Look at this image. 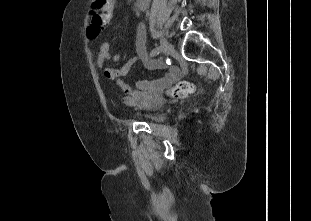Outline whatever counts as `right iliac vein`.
<instances>
[{
	"mask_svg": "<svg viewBox=\"0 0 311 221\" xmlns=\"http://www.w3.org/2000/svg\"><path fill=\"white\" fill-rule=\"evenodd\" d=\"M162 45H161V51L163 53L164 56H167L170 54V52L172 51V46L171 44L166 40V39H162L161 41Z\"/></svg>",
	"mask_w": 311,
	"mask_h": 221,
	"instance_id": "right-iliac-vein-1",
	"label": "right iliac vein"
}]
</instances>
